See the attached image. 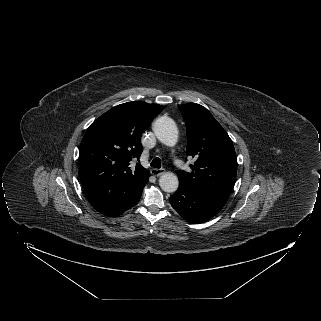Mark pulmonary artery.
Masks as SVG:
<instances>
[{
	"label": "pulmonary artery",
	"mask_w": 321,
	"mask_h": 321,
	"mask_svg": "<svg viewBox=\"0 0 321 321\" xmlns=\"http://www.w3.org/2000/svg\"><path fill=\"white\" fill-rule=\"evenodd\" d=\"M177 168L183 169V164L180 161H177Z\"/></svg>",
	"instance_id": "pulmonary-artery-1"
}]
</instances>
